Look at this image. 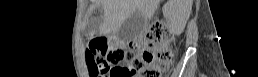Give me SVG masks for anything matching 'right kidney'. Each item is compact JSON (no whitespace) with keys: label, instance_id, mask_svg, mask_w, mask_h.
<instances>
[{"label":"right kidney","instance_id":"obj_1","mask_svg":"<svg viewBox=\"0 0 258 77\" xmlns=\"http://www.w3.org/2000/svg\"><path fill=\"white\" fill-rule=\"evenodd\" d=\"M170 25L172 30L178 34L181 33L184 29V23L179 20L178 15L175 13V10L173 9L172 12H170Z\"/></svg>","mask_w":258,"mask_h":77}]
</instances>
